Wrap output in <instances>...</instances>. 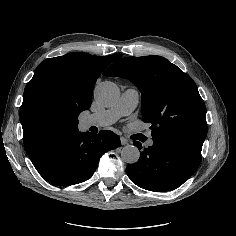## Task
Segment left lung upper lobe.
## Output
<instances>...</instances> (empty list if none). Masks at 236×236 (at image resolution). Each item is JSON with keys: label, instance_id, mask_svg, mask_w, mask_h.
Instances as JSON below:
<instances>
[{"label": "left lung upper lobe", "instance_id": "left-lung-upper-lobe-1", "mask_svg": "<svg viewBox=\"0 0 236 236\" xmlns=\"http://www.w3.org/2000/svg\"><path fill=\"white\" fill-rule=\"evenodd\" d=\"M105 76L132 81L141 91L144 122L152 137H166L202 150L207 135L206 109L195 82L160 56L126 57Z\"/></svg>", "mask_w": 236, "mask_h": 236}]
</instances>
